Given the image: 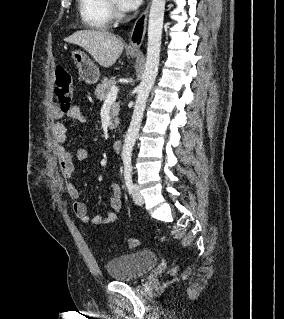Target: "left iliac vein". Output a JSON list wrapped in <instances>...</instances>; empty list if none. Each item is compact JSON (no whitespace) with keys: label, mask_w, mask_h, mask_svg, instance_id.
Masks as SVG:
<instances>
[{"label":"left iliac vein","mask_w":284,"mask_h":319,"mask_svg":"<svg viewBox=\"0 0 284 319\" xmlns=\"http://www.w3.org/2000/svg\"><path fill=\"white\" fill-rule=\"evenodd\" d=\"M132 198L135 204L142 206L144 204V198L140 192V188L137 184L133 185V190H132Z\"/></svg>","instance_id":"left-iliac-vein-1"}]
</instances>
